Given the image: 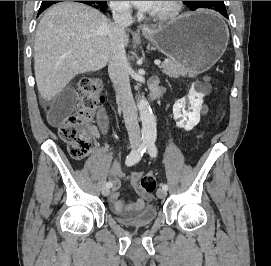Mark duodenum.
Wrapping results in <instances>:
<instances>
[{
    "label": "duodenum",
    "mask_w": 271,
    "mask_h": 266,
    "mask_svg": "<svg viewBox=\"0 0 271 266\" xmlns=\"http://www.w3.org/2000/svg\"><path fill=\"white\" fill-rule=\"evenodd\" d=\"M160 94H161V90L156 87L153 89L151 96L152 98H157L160 96Z\"/></svg>",
    "instance_id": "1"
}]
</instances>
